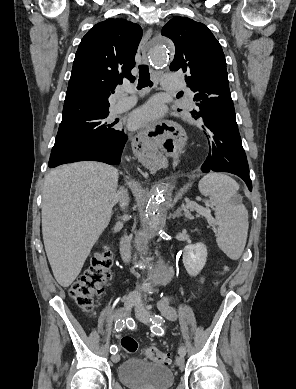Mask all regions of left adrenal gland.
I'll use <instances>...</instances> for the list:
<instances>
[{
	"label": "left adrenal gland",
	"mask_w": 296,
	"mask_h": 389,
	"mask_svg": "<svg viewBox=\"0 0 296 389\" xmlns=\"http://www.w3.org/2000/svg\"><path fill=\"white\" fill-rule=\"evenodd\" d=\"M182 209H183V207L177 208V210L172 215V218L175 219V218L183 216Z\"/></svg>",
	"instance_id": "obj_1"
}]
</instances>
